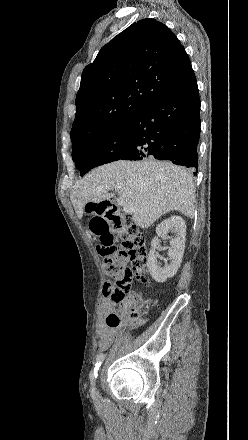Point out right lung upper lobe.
<instances>
[{
	"mask_svg": "<svg viewBox=\"0 0 248 440\" xmlns=\"http://www.w3.org/2000/svg\"><path fill=\"white\" fill-rule=\"evenodd\" d=\"M195 83L190 59L166 25L151 18L133 23L83 70L72 146L104 135L148 103Z\"/></svg>",
	"mask_w": 248,
	"mask_h": 440,
	"instance_id": "right-lung-upper-lobe-1",
	"label": "right lung upper lobe"
}]
</instances>
